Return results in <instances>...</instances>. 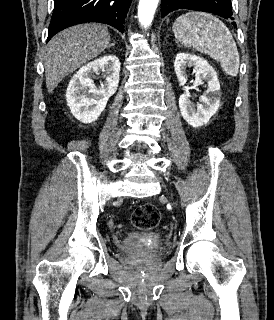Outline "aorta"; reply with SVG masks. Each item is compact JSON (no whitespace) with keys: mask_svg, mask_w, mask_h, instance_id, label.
<instances>
[{"mask_svg":"<svg viewBox=\"0 0 274 320\" xmlns=\"http://www.w3.org/2000/svg\"><path fill=\"white\" fill-rule=\"evenodd\" d=\"M159 0H140L138 6V19L140 24L147 28L151 25Z\"/></svg>","mask_w":274,"mask_h":320,"instance_id":"aorta-1","label":"aorta"}]
</instances>
